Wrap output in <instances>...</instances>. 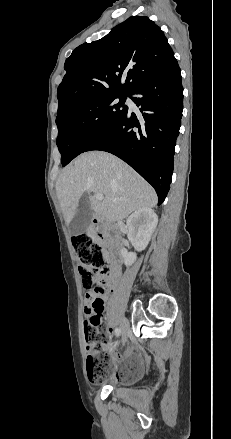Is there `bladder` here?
Segmentation results:
<instances>
[{
  "label": "bladder",
  "instance_id": "obj_1",
  "mask_svg": "<svg viewBox=\"0 0 231 439\" xmlns=\"http://www.w3.org/2000/svg\"><path fill=\"white\" fill-rule=\"evenodd\" d=\"M125 366L123 375L127 379H137L144 373V364L139 356L129 358Z\"/></svg>",
  "mask_w": 231,
  "mask_h": 439
}]
</instances>
